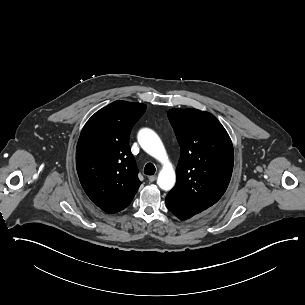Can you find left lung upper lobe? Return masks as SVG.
I'll return each mask as SVG.
<instances>
[{
  "instance_id": "obj_1",
  "label": "left lung upper lobe",
  "mask_w": 305,
  "mask_h": 305,
  "mask_svg": "<svg viewBox=\"0 0 305 305\" xmlns=\"http://www.w3.org/2000/svg\"><path fill=\"white\" fill-rule=\"evenodd\" d=\"M168 118L180 144L176 184L168 199L202 212L214 205L231 179L234 154L231 139L217 120L197 109H171Z\"/></svg>"
}]
</instances>
